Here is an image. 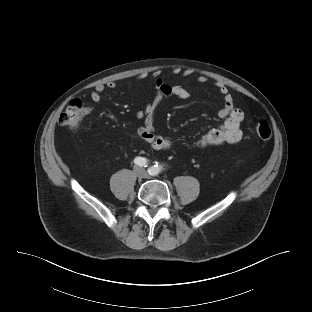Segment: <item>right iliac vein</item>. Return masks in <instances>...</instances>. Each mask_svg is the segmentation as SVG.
<instances>
[{
    "label": "right iliac vein",
    "mask_w": 312,
    "mask_h": 312,
    "mask_svg": "<svg viewBox=\"0 0 312 312\" xmlns=\"http://www.w3.org/2000/svg\"><path fill=\"white\" fill-rule=\"evenodd\" d=\"M135 172H136L137 176H140L142 173V170L140 168H136Z\"/></svg>",
    "instance_id": "right-iliac-vein-1"
}]
</instances>
